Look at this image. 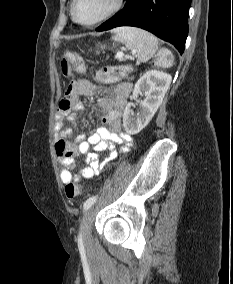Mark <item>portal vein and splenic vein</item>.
I'll return each mask as SVG.
<instances>
[{
  "label": "portal vein and splenic vein",
  "instance_id": "1",
  "mask_svg": "<svg viewBox=\"0 0 233 284\" xmlns=\"http://www.w3.org/2000/svg\"><path fill=\"white\" fill-rule=\"evenodd\" d=\"M117 57H119V59H122V54L121 55H117Z\"/></svg>",
  "mask_w": 233,
  "mask_h": 284
}]
</instances>
